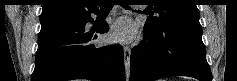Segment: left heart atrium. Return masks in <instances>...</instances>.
I'll return each mask as SVG.
<instances>
[{
    "label": "left heart atrium",
    "mask_w": 237,
    "mask_h": 81,
    "mask_svg": "<svg viewBox=\"0 0 237 81\" xmlns=\"http://www.w3.org/2000/svg\"><path fill=\"white\" fill-rule=\"evenodd\" d=\"M135 35V27L133 23L126 17L116 20L109 33L110 40L129 41Z\"/></svg>",
    "instance_id": "obj_1"
}]
</instances>
